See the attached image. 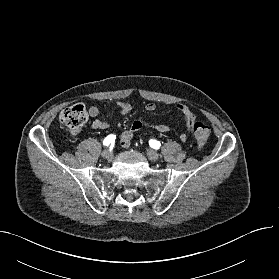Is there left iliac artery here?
<instances>
[{
    "label": "left iliac artery",
    "mask_w": 279,
    "mask_h": 279,
    "mask_svg": "<svg viewBox=\"0 0 279 279\" xmlns=\"http://www.w3.org/2000/svg\"><path fill=\"white\" fill-rule=\"evenodd\" d=\"M149 145L154 149H159V147L161 146L159 141L153 139L149 141Z\"/></svg>",
    "instance_id": "left-iliac-artery-1"
}]
</instances>
